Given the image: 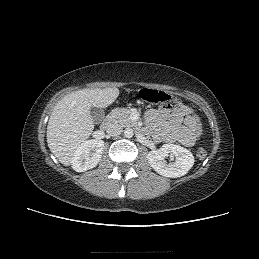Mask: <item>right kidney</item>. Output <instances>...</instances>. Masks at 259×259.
Returning <instances> with one entry per match:
<instances>
[{"instance_id":"right-kidney-1","label":"right kidney","mask_w":259,"mask_h":259,"mask_svg":"<svg viewBox=\"0 0 259 259\" xmlns=\"http://www.w3.org/2000/svg\"><path fill=\"white\" fill-rule=\"evenodd\" d=\"M104 145V141L100 139H92L82 143L73 153L72 168L76 172H85L94 168L101 160Z\"/></svg>"}]
</instances>
